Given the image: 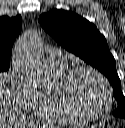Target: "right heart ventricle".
<instances>
[{"label": "right heart ventricle", "instance_id": "right-heart-ventricle-1", "mask_svg": "<svg viewBox=\"0 0 125 128\" xmlns=\"http://www.w3.org/2000/svg\"><path fill=\"white\" fill-rule=\"evenodd\" d=\"M48 68L56 83L53 87L38 92L35 102L31 108V113L38 119L56 124H78L80 121L72 118L61 106L57 94L56 86L63 76L68 72L65 64L50 66Z\"/></svg>", "mask_w": 125, "mask_h": 128}]
</instances>
